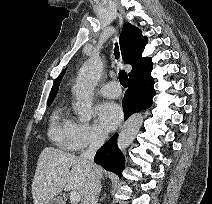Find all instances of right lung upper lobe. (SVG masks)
Segmentation results:
<instances>
[{
  "label": "right lung upper lobe",
  "instance_id": "obj_1",
  "mask_svg": "<svg viewBox=\"0 0 212 204\" xmlns=\"http://www.w3.org/2000/svg\"><path fill=\"white\" fill-rule=\"evenodd\" d=\"M147 38L142 36V32L135 26L126 22L120 34V45L123 60L126 64L132 65V71L128 74L129 80L138 77L141 73L152 69V61L149 57H142ZM65 71L55 80L48 99L53 101L55 98L60 81Z\"/></svg>",
  "mask_w": 212,
  "mask_h": 204
}]
</instances>
